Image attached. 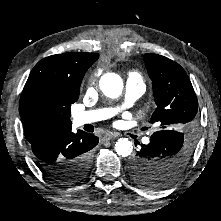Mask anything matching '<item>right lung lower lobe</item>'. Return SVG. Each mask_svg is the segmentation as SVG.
I'll use <instances>...</instances> for the list:
<instances>
[{
    "label": "right lung lower lobe",
    "mask_w": 221,
    "mask_h": 221,
    "mask_svg": "<svg viewBox=\"0 0 221 221\" xmlns=\"http://www.w3.org/2000/svg\"><path fill=\"white\" fill-rule=\"evenodd\" d=\"M99 142L93 134L71 128L47 133L30 143L35 162L50 179L72 184L85 178L90 167V150ZM80 161V162H77ZM81 163L82 168H78Z\"/></svg>",
    "instance_id": "obj_1"
}]
</instances>
